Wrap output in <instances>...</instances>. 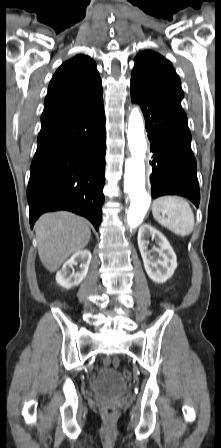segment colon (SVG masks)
I'll list each match as a JSON object with an SVG mask.
<instances>
[{
	"mask_svg": "<svg viewBox=\"0 0 221 448\" xmlns=\"http://www.w3.org/2000/svg\"><path fill=\"white\" fill-rule=\"evenodd\" d=\"M103 366L105 367H109V366H114V367H118L120 364V361L118 359H114V360H110L108 358L104 359L102 362ZM123 376L125 378H130L131 373L128 370H124L123 371ZM102 414L103 416L108 419V420H113L116 418L117 416V408L112 405V404H106L103 408H102Z\"/></svg>",
	"mask_w": 221,
	"mask_h": 448,
	"instance_id": "obj_1",
	"label": "colon"
}]
</instances>
